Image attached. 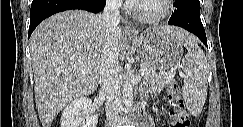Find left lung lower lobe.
<instances>
[{
  "instance_id": "0a47b994",
  "label": "left lung lower lobe",
  "mask_w": 243,
  "mask_h": 127,
  "mask_svg": "<svg viewBox=\"0 0 243 127\" xmlns=\"http://www.w3.org/2000/svg\"><path fill=\"white\" fill-rule=\"evenodd\" d=\"M168 24L182 27L198 38L207 46V38L200 19L199 0H177ZM208 47V46H207Z\"/></svg>"
}]
</instances>
